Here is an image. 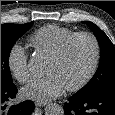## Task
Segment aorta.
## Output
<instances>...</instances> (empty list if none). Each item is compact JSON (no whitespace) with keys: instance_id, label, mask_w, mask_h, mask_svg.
Listing matches in <instances>:
<instances>
[{"instance_id":"762f6f07","label":"aorta","mask_w":115,"mask_h":115,"mask_svg":"<svg viewBox=\"0 0 115 115\" xmlns=\"http://www.w3.org/2000/svg\"><path fill=\"white\" fill-rule=\"evenodd\" d=\"M44 64L42 59L34 57L29 61V69L32 73H40L43 70ZM45 115H65V112L61 105L51 103L46 106Z\"/></svg>"}]
</instances>
